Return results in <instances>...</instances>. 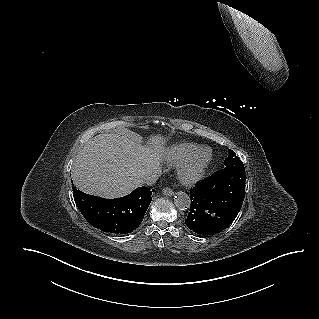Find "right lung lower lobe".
<instances>
[{"label":"right lung lower lobe","instance_id":"right-lung-lower-lobe-1","mask_svg":"<svg viewBox=\"0 0 319 319\" xmlns=\"http://www.w3.org/2000/svg\"><path fill=\"white\" fill-rule=\"evenodd\" d=\"M153 191L143 186L127 196L104 199L73 187V196L82 215L93 227L104 232L126 234L142 222Z\"/></svg>","mask_w":319,"mask_h":319}]
</instances>
